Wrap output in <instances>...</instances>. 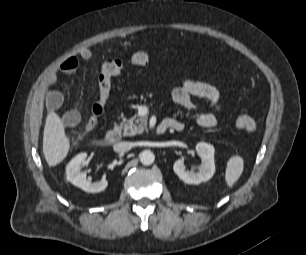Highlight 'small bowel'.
Instances as JSON below:
<instances>
[{"label":"small bowel","instance_id":"small-bowel-1","mask_svg":"<svg viewBox=\"0 0 306 255\" xmlns=\"http://www.w3.org/2000/svg\"><path fill=\"white\" fill-rule=\"evenodd\" d=\"M79 57L82 60L87 61L91 59L92 53L89 49H82L79 52ZM78 67V57L69 56L60 63L56 71H52L47 75L45 78V86L48 89L47 107L49 110H57L62 105V95L56 88L58 84V74L74 73ZM193 97H198L209 101L215 107L216 111L219 112L222 110L219 90L207 82L186 78L182 81L181 85L175 88L171 93L172 101L188 111L199 126L203 128L216 127L218 124L217 117L213 113L205 112L199 109L194 103ZM79 120L80 114L75 110L67 111L62 116L63 123L68 127L75 126ZM168 120L180 123L181 129L177 131L183 129L184 125L182 122L172 118Z\"/></svg>","mask_w":306,"mask_h":255}]
</instances>
